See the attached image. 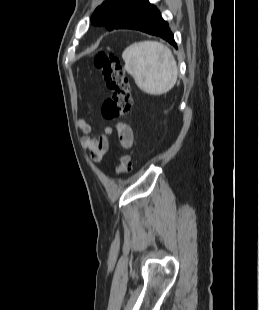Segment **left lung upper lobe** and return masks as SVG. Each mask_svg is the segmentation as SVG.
I'll list each match as a JSON object with an SVG mask.
<instances>
[{
    "label": "left lung upper lobe",
    "instance_id": "left-lung-upper-lobe-1",
    "mask_svg": "<svg viewBox=\"0 0 259 310\" xmlns=\"http://www.w3.org/2000/svg\"><path fill=\"white\" fill-rule=\"evenodd\" d=\"M147 0H107L98 6L91 17L92 24L113 30L118 23L133 9L144 4Z\"/></svg>",
    "mask_w": 259,
    "mask_h": 310
}]
</instances>
